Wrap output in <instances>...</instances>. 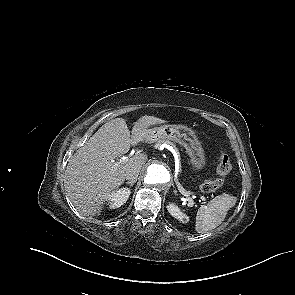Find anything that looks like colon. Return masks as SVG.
I'll return each mask as SVG.
<instances>
[{
    "label": "colon",
    "mask_w": 295,
    "mask_h": 295,
    "mask_svg": "<svg viewBox=\"0 0 295 295\" xmlns=\"http://www.w3.org/2000/svg\"><path fill=\"white\" fill-rule=\"evenodd\" d=\"M231 161L227 154L222 153L218 159L216 166V175L201 184V191L210 193L220 188L231 171Z\"/></svg>",
    "instance_id": "obj_1"
}]
</instances>
